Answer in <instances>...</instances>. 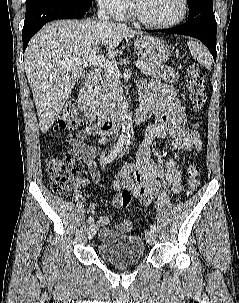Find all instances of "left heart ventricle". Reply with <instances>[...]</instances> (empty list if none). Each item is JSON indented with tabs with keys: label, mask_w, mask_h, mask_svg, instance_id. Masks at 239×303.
I'll use <instances>...</instances> for the list:
<instances>
[{
	"label": "left heart ventricle",
	"mask_w": 239,
	"mask_h": 303,
	"mask_svg": "<svg viewBox=\"0 0 239 303\" xmlns=\"http://www.w3.org/2000/svg\"><path fill=\"white\" fill-rule=\"evenodd\" d=\"M140 13L153 22H167L176 18L181 10V0H135Z\"/></svg>",
	"instance_id": "b2bd125f"
}]
</instances>
